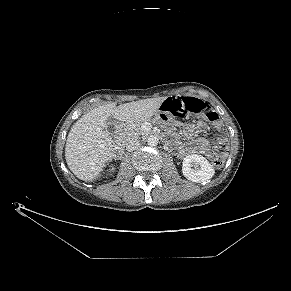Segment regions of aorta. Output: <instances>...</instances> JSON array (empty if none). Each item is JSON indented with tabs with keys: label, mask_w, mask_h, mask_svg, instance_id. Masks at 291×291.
<instances>
[{
	"label": "aorta",
	"mask_w": 291,
	"mask_h": 291,
	"mask_svg": "<svg viewBox=\"0 0 291 291\" xmlns=\"http://www.w3.org/2000/svg\"><path fill=\"white\" fill-rule=\"evenodd\" d=\"M158 138L156 136H150L148 139H147V143L149 146H156L158 144Z\"/></svg>",
	"instance_id": "obj_1"
}]
</instances>
